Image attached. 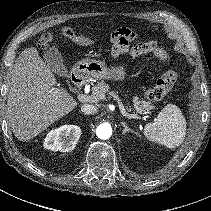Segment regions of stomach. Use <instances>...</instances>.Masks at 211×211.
<instances>
[{
    "label": "stomach",
    "mask_w": 211,
    "mask_h": 211,
    "mask_svg": "<svg viewBox=\"0 0 211 211\" xmlns=\"http://www.w3.org/2000/svg\"><path fill=\"white\" fill-rule=\"evenodd\" d=\"M75 70L82 75L93 79H109L124 81L127 72L124 67L119 66L108 69L104 62L95 59H83L76 63Z\"/></svg>",
    "instance_id": "0dacf381"
}]
</instances>
